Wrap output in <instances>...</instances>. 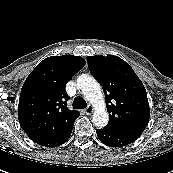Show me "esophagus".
I'll list each match as a JSON object with an SVG mask.
<instances>
[{
	"label": "esophagus",
	"mask_w": 173,
	"mask_h": 173,
	"mask_svg": "<svg viewBox=\"0 0 173 173\" xmlns=\"http://www.w3.org/2000/svg\"><path fill=\"white\" fill-rule=\"evenodd\" d=\"M84 112L87 114V115H90L92 112H93V108L88 105L85 109H84Z\"/></svg>",
	"instance_id": "34e87169"
}]
</instances>
